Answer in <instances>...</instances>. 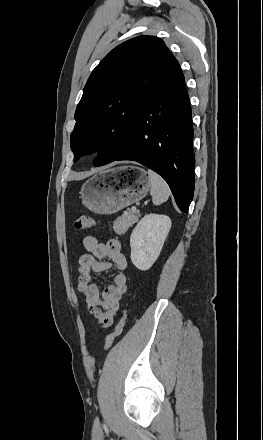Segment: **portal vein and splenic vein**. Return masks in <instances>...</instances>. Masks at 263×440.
Instances as JSON below:
<instances>
[{
    "label": "portal vein and splenic vein",
    "instance_id": "portal-vein-and-splenic-vein-1",
    "mask_svg": "<svg viewBox=\"0 0 263 440\" xmlns=\"http://www.w3.org/2000/svg\"><path fill=\"white\" fill-rule=\"evenodd\" d=\"M131 211L136 212V206H132Z\"/></svg>",
    "mask_w": 263,
    "mask_h": 440
}]
</instances>
